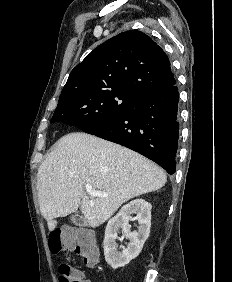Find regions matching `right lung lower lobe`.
<instances>
[{"label":"right lung lower lobe","mask_w":232,"mask_h":282,"mask_svg":"<svg viewBox=\"0 0 232 282\" xmlns=\"http://www.w3.org/2000/svg\"><path fill=\"white\" fill-rule=\"evenodd\" d=\"M178 101L174 82L145 93L134 109L83 131L130 148L173 174L179 136Z\"/></svg>","instance_id":"1"}]
</instances>
